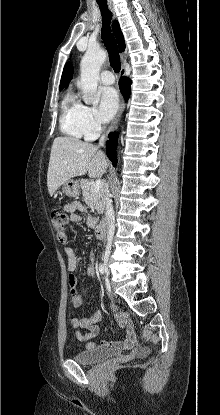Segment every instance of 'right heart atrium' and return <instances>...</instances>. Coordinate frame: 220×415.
<instances>
[{
	"mask_svg": "<svg viewBox=\"0 0 220 415\" xmlns=\"http://www.w3.org/2000/svg\"><path fill=\"white\" fill-rule=\"evenodd\" d=\"M83 120L85 131L88 137L94 138L102 131V124L96 117L93 108L83 105Z\"/></svg>",
	"mask_w": 220,
	"mask_h": 415,
	"instance_id": "right-heart-atrium-1",
	"label": "right heart atrium"
}]
</instances>
